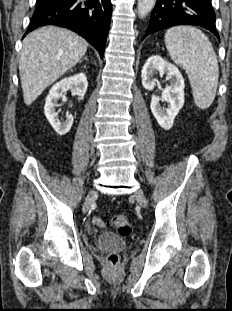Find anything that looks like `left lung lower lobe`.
<instances>
[{
  "mask_svg": "<svg viewBox=\"0 0 232 311\" xmlns=\"http://www.w3.org/2000/svg\"><path fill=\"white\" fill-rule=\"evenodd\" d=\"M187 24L204 27L219 39L211 0H157L144 38L171 26Z\"/></svg>",
  "mask_w": 232,
  "mask_h": 311,
  "instance_id": "left-lung-lower-lobe-1",
  "label": "left lung lower lobe"
}]
</instances>
